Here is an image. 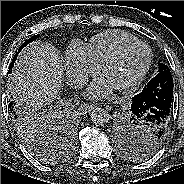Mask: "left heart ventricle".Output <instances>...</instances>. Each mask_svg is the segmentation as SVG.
I'll list each match as a JSON object with an SVG mask.
<instances>
[{
  "instance_id": "1",
  "label": "left heart ventricle",
  "mask_w": 184,
  "mask_h": 184,
  "mask_svg": "<svg viewBox=\"0 0 184 184\" xmlns=\"http://www.w3.org/2000/svg\"><path fill=\"white\" fill-rule=\"evenodd\" d=\"M147 58V50L141 46H134L125 51L114 63L106 67L102 76L118 88L129 83L142 69Z\"/></svg>"
}]
</instances>
